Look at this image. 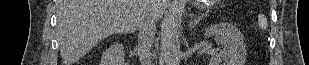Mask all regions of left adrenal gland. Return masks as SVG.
I'll return each mask as SVG.
<instances>
[{
    "instance_id": "left-adrenal-gland-1",
    "label": "left adrenal gland",
    "mask_w": 309,
    "mask_h": 65,
    "mask_svg": "<svg viewBox=\"0 0 309 65\" xmlns=\"http://www.w3.org/2000/svg\"><path fill=\"white\" fill-rule=\"evenodd\" d=\"M203 18V15H201L200 17H198L197 19H192L189 22V28L192 30L194 27H196V25L201 21V19Z\"/></svg>"
}]
</instances>
